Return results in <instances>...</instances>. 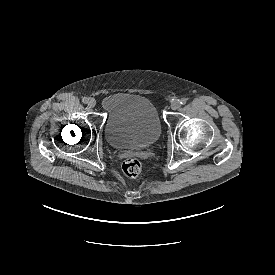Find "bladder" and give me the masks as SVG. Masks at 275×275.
I'll return each instance as SVG.
<instances>
[{"instance_id": "31cf9c89", "label": "bladder", "mask_w": 275, "mask_h": 275, "mask_svg": "<svg viewBox=\"0 0 275 275\" xmlns=\"http://www.w3.org/2000/svg\"><path fill=\"white\" fill-rule=\"evenodd\" d=\"M106 115L105 136L119 149H144L160 136L161 124L155 106L131 93H113L102 98Z\"/></svg>"}]
</instances>
